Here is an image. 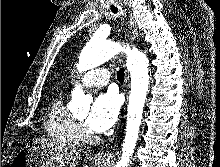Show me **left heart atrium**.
<instances>
[{
    "mask_svg": "<svg viewBox=\"0 0 220 167\" xmlns=\"http://www.w3.org/2000/svg\"><path fill=\"white\" fill-rule=\"evenodd\" d=\"M120 110L119 96L108 91L99 95L86 119V125L90 130L101 133L111 128L117 120Z\"/></svg>",
    "mask_w": 220,
    "mask_h": 167,
    "instance_id": "obj_1",
    "label": "left heart atrium"
}]
</instances>
